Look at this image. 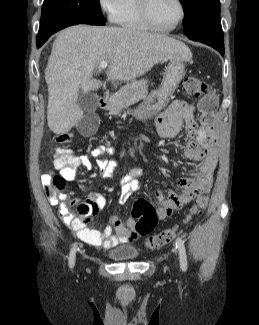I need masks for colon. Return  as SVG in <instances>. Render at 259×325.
Returning <instances> with one entry per match:
<instances>
[{"mask_svg":"<svg viewBox=\"0 0 259 325\" xmlns=\"http://www.w3.org/2000/svg\"><path fill=\"white\" fill-rule=\"evenodd\" d=\"M185 91L192 97L200 100V106L203 111L200 122L204 129L211 132L215 128L213 123L214 113L217 109V99L211 91L209 85L203 80L188 76L183 81ZM71 140L69 134L59 136L56 141L60 144H66ZM67 152L65 149H57L56 155L62 156ZM65 188V179L62 176L55 175L44 182L45 193L50 202H59L62 191ZM207 193H201L194 205L191 207L184 222H188L194 216L201 213L208 204ZM132 215L136 219L135 231L138 235L147 236L145 246L149 249H158L174 240L178 233V226L165 229L157 234L149 235L157 223V212L153 205L143 198L137 199L132 207Z\"/></svg>","mask_w":259,"mask_h":325,"instance_id":"colon-1","label":"colon"}]
</instances>
